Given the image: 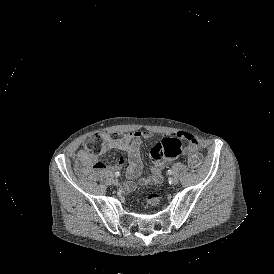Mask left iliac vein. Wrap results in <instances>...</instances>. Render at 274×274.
I'll use <instances>...</instances> for the list:
<instances>
[{
  "instance_id": "left-iliac-vein-1",
  "label": "left iliac vein",
  "mask_w": 274,
  "mask_h": 274,
  "mask_svg": "<svg viewBox=\"0 0 274 274\" xmlns=\"http://www.w3.org/2000/svg\"><path fill=\"white\" fill-rule=\"evenodd\" d=\"M178 182H179V179H178L177 177H172L171 183H172L173 185H177Z\"/></svg>"
}]
</instances>
